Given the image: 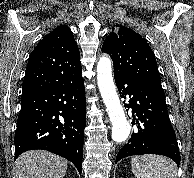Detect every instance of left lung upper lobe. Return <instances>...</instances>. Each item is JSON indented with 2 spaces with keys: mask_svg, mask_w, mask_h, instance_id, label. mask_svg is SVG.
Listing matches in <instances>:
<instances>
[{
  "mask_svg": "<svg viewBox=\"0 0 194 178\" xmlns=\"http://www.w3.org/2000/svg\"><path fill=\"white\" fill-rule=\"evenodd\" d=\"M102 52L110 55L114 76L148 87L162 89L155 55L140 34L117 25L107 36Z\"/></svg>",
  "mask_w": 194,
  "mask_h": 178,
  "instance_id": "obj_1",
  "label": "left lung upper lobe"
}]
</instances>
